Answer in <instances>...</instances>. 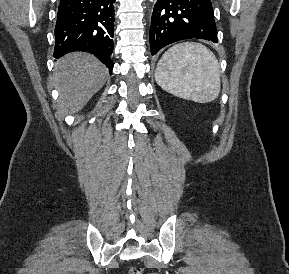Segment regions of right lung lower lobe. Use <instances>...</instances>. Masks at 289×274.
Here are the masks:
<instances>
[{
  "instance_id": "obj_1",
  "label": "right lung lower lobe",
  "mask_w": 289,
  "mask_h": 274,
  "mask_svg": "<svg viewBox=\"0 0 289 274\" xmlns=\"http://www.w3.org/2000/svg\"><path fill=\"white\" fill-rule=\"evenodd\" d=\"M115 0H60L54 57L72 51L94 54L111 73Z\"/></svg>"
}]
</instances>
